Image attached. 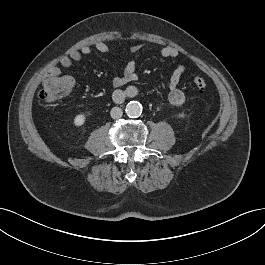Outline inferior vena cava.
I'll use <instances>...</instances> for the list:
<instances>
[{"label": "inferior vena cava", "instance_id": "602c4592", "mask_svg": "<svg viewBox=\"0 0 265 265\" xmlns=\"http://www.w3.org/2000/svg\"><path fill=\"white\" fill-rule=\"evenodd\" d=\"M110 115L113 119H118L120 117H122L123 115V111L121 108L119 107H113L110 111Z\"/></svg>", "mask_w": 265, "mask_h": 265}]
</instances>
